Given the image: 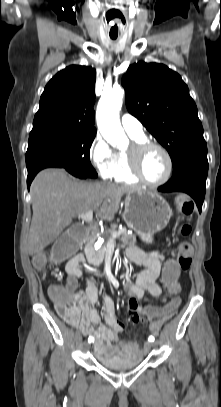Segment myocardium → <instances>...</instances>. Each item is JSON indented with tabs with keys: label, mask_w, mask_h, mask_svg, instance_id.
Wrapping results in <instances>:
<instances>
[{
	"label": "myocardium",
	"mask_w": 221,
	"mask_h": 407,
	"mask_svg": "<svg viewBox=\"0 0 221 407\" xmlns=\"http://www.w3.org/2000/svg\"><path fill=\"white\" fill-rule=\"evenodd\" d=\"M151 149L160 150L168 162V171L166 176L160 181H151L147 179L142 171V158ZM128 166L131 174L141 183L157 187L166 184L172 177L174 171V162L170 152L161 144L153 141H135L126 152Z\"/></svg>",
	"instance_id": "1"
}]
</instances>
